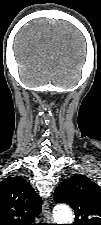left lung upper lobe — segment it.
<instances>
[{"instance_id": "obj_1", "label": "left lung upper lobe", "mask_w": 101, "mask_h": 225, "mask_svg": "<svg viewBox=\"0 0 101 225\" xmlns=\"http://www.w3.org/2000/svg\"><path fill=\"white\" fill-rule=\"evenodd\" d=\"M56 203H67L75 211L73 225H101V189L83 175L64 180L55 190Z\"/></svg>"}]
</instances>
